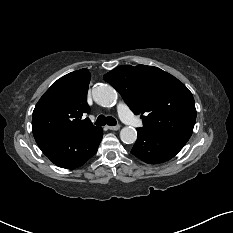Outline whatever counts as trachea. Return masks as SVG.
Here are the masks:
<instances>
[{"instance_id": "trachea-1", "label": "trachea", "mask_w": 233, "mask_h": 233, "mask_svg": "<svg viewBox=\"0 0 233 233\" xmlns=\"http://www.w3.org/2000/svg\"><path fill=\"white\" fill-rule=\"evenodd\" d=\"M95 124L97 126H104L105 124L110 125V126H115L117 124V122L111 116L105 117L104 115H100V116H98Z\"/></svg>"}]
</instances>
